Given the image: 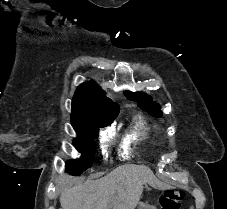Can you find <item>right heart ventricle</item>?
Masks as SVG:
<instances>
[{
	"mask_svg": "<svg viewBox=\"0 0 227 209\" xmlns=\"http://www.w3.org/2000/svg\"><path fill=\"white\" fill-rule=\"evenodd\" d=\"M153 130L141 116H134L131 125L121 143L120 155L128 158L132 155V145L153 135Z\"/></svg>",
	"mask_w": 227,
	"mask_h": 209,
	"instance_id": "1",
	"label": "right heart ventricle"
}]
</instances>
